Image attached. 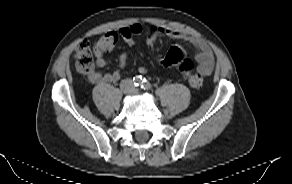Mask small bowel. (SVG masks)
Masks as SVG:
<instances>
[{"instance_id": "1", "label": "small bowel", "mask_w": 292, "mask_h": 184, "mask_svg": "<svg viewBox=\"0 0 292 184\" xmlns=\"http://www.w3.org/2000/svg\"><path fill=\"white\" fill-rule=\"evenodd\" d=\"M160 29L161 34L167 35L171 38L183 40L192 46L195 59L198 63V72L201 75L208 76L212 73L214 68V57L212 51L205 42H203L198 37L185 32L163 28ZM142 32L143 27L139 23H134L120 29V35L122 36L123 40L130 46L134 45L135 38ZM127 59L128 53H121L118 58L119 69L107 73H101L97 70H93L92 72L88 73L89 81L93 84L117 82L120 79L121 70L126 67ZM105 64V57L102 54L98 55L96 57V67L103 68ZM138 71L140 73H146L147 68L145 66H139Z\"/></svg>"}]
</instances>
